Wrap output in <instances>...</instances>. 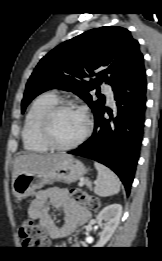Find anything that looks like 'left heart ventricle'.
I'll return each instance as SVG.
<instances>
[{"label": "left heart ventricle", "instance_id": "b2bd125f", "mask_svg": "<svg viewBox=\"0 0 162 261\" xmlns=\"http://www.w3.org/2000/svg\"><path fill=\"white\" fill-rule=\"evenodd\" d=\"M85 117L77 110L59 112L52 124L54 139L60 144H69L81 136L85 129Z\"/></svg>", "mask_w": 162, "mask_h": 261}]
</instances>
